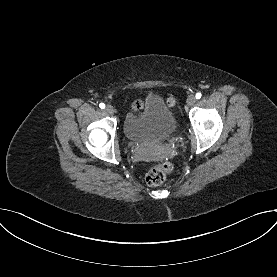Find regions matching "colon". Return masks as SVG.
<instances>
[{
	"mask_svg": "<svg viewBox=\"0 0 277 277\" xmlns=\"http://www.w3.org/2000/svg\"><path fill=\"white\" fill-rule=\"evenodd\" d=\"M175 103L174 98L171 97L168 99V105L173 106ZM141 105L138 103L136 108H140ZM172 165L170 162L165 161L161 164H158L151 168L146 174V182L150 186H159L161 185L167 177V174L171 171Z\"/></svg>",
	"mask_w": 277,
	"mask_h": 277,
	"instance_id": "5ec220e1",
	"label": "colon"
}]
</instances>
